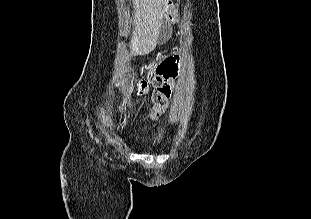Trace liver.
I'll list each match as a JSON object with an SVG mask.
<instances>
[{
    "instance_id": "liver-1",
    "label": "liver",
    "mask_w": 311,
    "mask_h": 219,
    "mask_svg": "<svg viewBox=\"0 0 311 219\" xmlns=\"http://www.w3.org/2000/svg\"><path fill=\"white\" fill-rule=\"evenodd\" d=\"M169 0H135L136 29L131 39V54L148 53L157 44L161 21Z\"/></svg>"
}]
</instances>
